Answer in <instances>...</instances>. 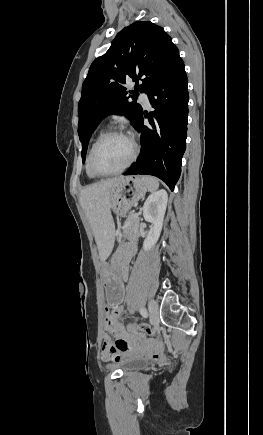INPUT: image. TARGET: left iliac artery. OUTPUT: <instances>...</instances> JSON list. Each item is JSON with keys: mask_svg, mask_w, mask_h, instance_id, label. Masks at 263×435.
Wrapping results in <instances>:
<instances>
[{"mask_svg": "<svg viewBox=\"0 0 263 435\" xmlns=\"http://www.w3.org/2000/svg\"><path fill=\"white\" fill-rule=\"evenodd\" d=\"M140 313L144 318L148 317V313H147V310L145 308H141Z\"/></svg>", "mask_w": 263, "mask_h": 435, "instance_id": "obj_1", "label": "left iliac artery"}]
</instances>
